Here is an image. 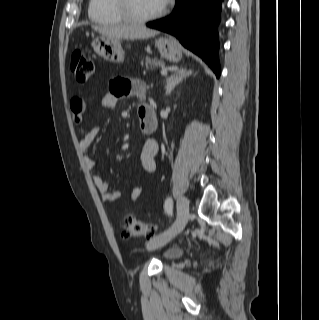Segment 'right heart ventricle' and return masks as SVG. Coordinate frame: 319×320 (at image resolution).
Wrapping results in <instances>:
<instances>
[{"label": "right heart ventricle", "instance_id": "e07e8e85", "mask_svg": "<svg viewBox=\"0 0 319 320\" xmlns=\"http://www.w3.org/2000/svg\"><path fill=\"white\" fill-rule=\"evenodd\" d=\"M89 18L102 25L124 24L127 20L118 12L114 0H90Z\"/></svg>", "mask_w": 319, "mask_h": 320}]
</instances>
